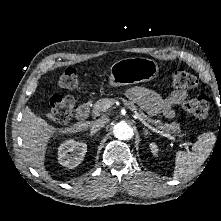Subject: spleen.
I'll return each mask as SVG.
<instances>
[{
    "label": "spleen",
    "instance_id": "1",
    "mask_svg": "<svg viewBox=\"0 0 221 221\" xmlns=\"http://www.w3.org/2000/svg\"><path fill=\"white\" fill-rule=\"evenodd\" d=\"M216 141L212 132L201 134L192 146L191 152L177 151L173 178H184L194 173L210 155Z\"/></svg>",
    "mask_w": 221,
    "mask_h": 221
}]
</instances>
